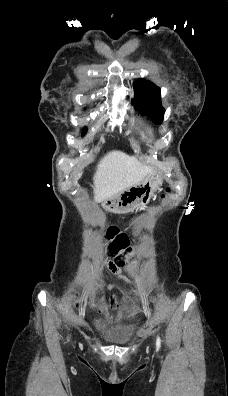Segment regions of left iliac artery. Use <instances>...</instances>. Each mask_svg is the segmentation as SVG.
I'll list each match as a JSON object with an SVG mask.
<instances>
[{"label": "left iliac artery", "mask_w": 228, "mask_h": 396, "mask_svg": "<svg viewBox=\"0 0 228 396\" xmlns=\"http://www.w3.org/2000/svg\"><path fill=\"white\" fill-rule=\"evenodd\" d=\"M156 347H157V349H159L161 347V340H160L159 336L157 337V340H156Z\"/></svg>", "instance_id": "44dca946"}]
</instances>
